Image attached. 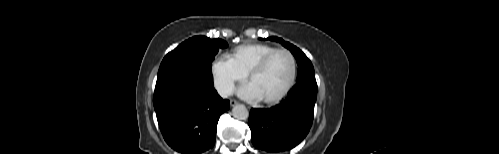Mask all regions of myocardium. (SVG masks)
<instances>
[{
	"label": "myocardium",
	"mask_w": 499,
	"mask_h": 154,
	"mask_svg": "<svg viewBox=\"0 0 499 154\" xmlns=\"http://www.w3.org/2000/svg\"><path fill=\"white\" fill-rule=\"evenodd\" d=\"M280 53L286 54L289 57V59L291 61V75H290L288 83L286 84V86L283 88V90L278 95H276L275 97H272V98L262 99V102L265 104H275V103L280 102L283 98H285L287 96V94L292 89V87L295 83V80H296V75H297V62H296L294 55L287 49H275L274 51L265 55L247 73L248 80H250L252 78V76H254V75L258 74L259 72H261L262 70H264V68L267 66V64L270 62V60L275 55L280 54Z\"/></svg>",
	"instance_id": "obj_1"
}]
</instances>
